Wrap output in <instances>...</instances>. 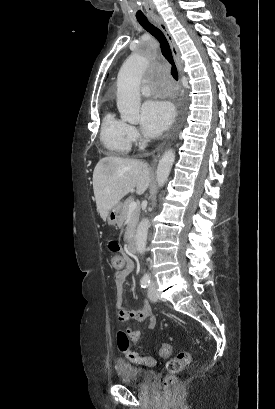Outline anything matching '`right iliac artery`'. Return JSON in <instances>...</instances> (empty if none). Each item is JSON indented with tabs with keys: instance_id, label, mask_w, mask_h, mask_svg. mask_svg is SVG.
<instances>
[{
	"instance_id": "1",
	"label": "right iliac artery",
	"mask_w": 275,
	"mask_h": 409,
	"mask_svg": "<svg viewBox=\"0 0 275 409\" xmlns=\"http://www.w3.org/2000/svg\"><path fill=\"white\" fill-rule=\"evenodd\" d=\"M149 284H150V279L148 276L143 277L140 281V285L142 288H147Z\"/></svg>"
}]
</instances>
